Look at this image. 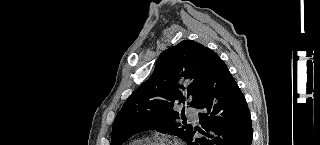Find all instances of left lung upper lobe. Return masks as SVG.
<instances>
[{
  "instance_id": "1",
  "label": "left lung upper lobe",
  "mask_w": 320,
  "mask_h": 145,
  "mask_svg": "<svg viewBox=\"0 0 320 145\" xmlns=\"http://www.w3.org/2000/svg\"><path fill=\"white\" fill-rule=\"evenodd\" d=\"M219 59L214 51L193 40H183L165 50L151 78L131 94L116 116L111 145H122L132 135L151 129L186 142L193 128L176 122L179 115L172 111L173 105L189 99L190 106L198 108L204 77ZM182 77L194 81L186 88L178 84Z\"/></svg>"
}]
</instances>
